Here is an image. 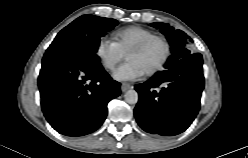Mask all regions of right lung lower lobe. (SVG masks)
<instances>
[{
    "label": "right lung lower lobe",
    "instance_id": "1",
    "mask_svg": "<svg viewBox=\"0 0 248 158\" xmlns=\"http://www.w3.org/2000/svg\"><path fill=\"white\" fill-rule=\"evenodd\" d=\"M43 113L50 125L66 136L97 130L107 115L108 102L120 95L96 54L47 50L38 78Z\"/></svg>",
    "mask_w": 248,
    "mask_h": 158
}]
</instances>
